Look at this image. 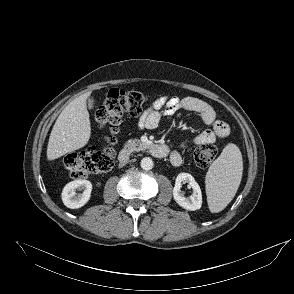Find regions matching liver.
Segmentation results:
<instances>
[{"label":"liver","mask_w":294,"mask_h":294,"mask_svg":"<svg viewBox=\"0 0 294 294\" xmlns=\"http://www.w3.org/2000/svg\"><path fill=\"white\" fill-rule=\"evenodd\" d=\"M85 93L71 101L58 116L47 146V159L55 160L84 147L91 136Z\"/></svg>","instance_id":"obj_1"}]
</instances>
